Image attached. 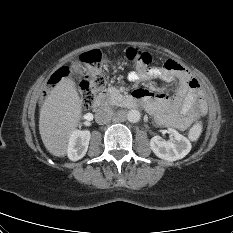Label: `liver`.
I'll list each match as a JSON object with an SVG mask.
<instances>
[{
	"mask_svg": "<svg viewBox=\"0 0 233 233\" xmlns=\"http://www.w3.org/2000/svg\"><path fill=\"white\" fill-rule=\"evenodd\" d=\"M82 118V102L73 81L62 78L46 97L39 117V131L45 148L54 156L67 154L71 133Z\"/></svg>",
	"mask_w": 233,
	"mask_h": 233,
	"instance_id": "6515ba94",
	"label": "liver"
}]
</instances>
